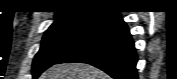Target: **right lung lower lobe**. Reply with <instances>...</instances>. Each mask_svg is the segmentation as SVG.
Returning <instances> with one entry per match:
<instances>
[{"mask_svg": "<svg viewBox=\"0 0 177 79\" xmlns=\"http://www.w3.org/2000/svg\"><path fill=\"white\" fill-rule=\"evenodd\" d=\"M91 64L114 79H138L134 42L118 12L106 14L91 33L55 64Z\"/></svg>", "mask_w": 177, "mask_h": 79, "instance_id": "98d812e1", "label": "right lung lower lobe"}]
</instances>
